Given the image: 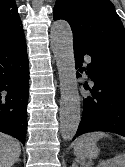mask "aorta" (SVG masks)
I'll return each mask as SVG.
<instances>
[{
	"mask_svg": "<svg viewBox=\"0 0 125 167\" xmlns=\"http://www.w3.org/2000/svg\"><path fill=\"white\" fill-rule=\"evenodd\" d=\"M50 37L60 80V132L62 138L68 141L75 136L81 119V99L70 25L64 20L55 21L51 26Z\"/></svg>",
	"mask_w": 125,
	"mask_h": 167,
	"instance_id": "aorta-1",
	"label": "aorta"
}]
</instances>
